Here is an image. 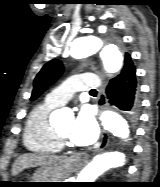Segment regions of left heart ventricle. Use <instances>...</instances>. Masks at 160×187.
Masks as SVG:
<instances>
[{
    "label": "left heart ventricle",
    "instance_id": "1",
    "mask_svg": "<svg viewBox=\"0 0 160 187\" xmlns=\"http://www.w3.org/2000/svg\"><path fill=\"white\" fill-rule=\"evenodd\" d=\"M72 129V122H66L58 127V130L65 136L69 137Z\"/></svg>",
    "mask_w": 160,
    "mask_h": 187
}]
</instances>
